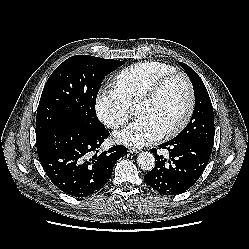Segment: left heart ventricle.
I'll list each match as a JSON object with an SVG mask.
<instances>
[{
  "mask_svg": "<svg viewBox=\"0 0 249 249\" xmlns=\"http://www.w3.org/2000/svg\"><path fill=\"white\" fill-rule=\"evenodd\" d=\"M188 94L183 80L175 77L168 81L157 97L148 103L138 104L136 113L153 119L165 132L173 128L183 117Z\"/></svg>",
  "mask_w": 249,
  "mask_h": 249,
  "instance_id": "b2bd125f",
  "label": "left heart ventricle"
}]
</instances>
